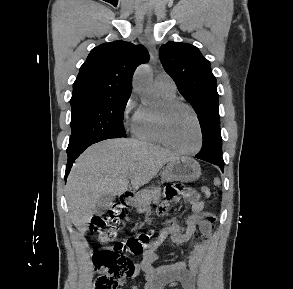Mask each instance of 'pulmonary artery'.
Masks as SVG:
<instances>
[{
	"label": "pulmonary artery",
	"mask_w": 293,
	"mask_h": 289,
	"mask_svg": "<svg viewBox=\"0 0 293 289\" xmlns=\"http://www.w3.org/2000/svg\"><path fill=\"white\" fill-rule=\"evenodd\" d=\"M155 87L159 91L174 93L176 90L173 79L166 73H162L155 78Z\"/></svg>",
	"instance_id": "pulmonary-artery-1"
}]
</instances>
